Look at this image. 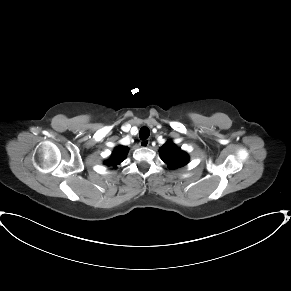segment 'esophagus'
<instances>
[{"instance_id":"1","label":"esophagus","mask_w":291,"mask_h":291,"mask_svg":"<svg viewBox=\"0 0 291 291\" xmlns=\"http://www.w3.org/2000/svg\"><path fill=\"white\" fill-rule=\"evenodd\" d=\"M139 144L141 147L146 148L150 145V141L149 140H142V141H140Z\"/></svg>"}]
</instances>
